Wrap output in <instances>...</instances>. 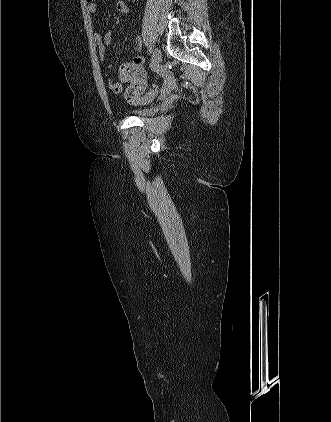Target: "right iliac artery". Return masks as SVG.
Returning a JSON list of instances; mask_svg holds the SVG:
<instances>
[{
    "label": "right iliac artery",
    "mask_w": 331,
    "mask_h": 422,
    "mask_svg": "<svg viewBox=\"0 0 331 422\" xmlns=\"http://www.w3.org/2000/svg\"><path fill=\"white\" fill-rule=\"evenodd\" d=\"M149 58H152L153 50L152 48H148Z\"/></svg>",
    "instance_id": "right-iliac-artery-1"
}]
</instances>
